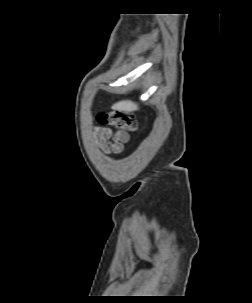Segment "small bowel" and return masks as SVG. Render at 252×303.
Here are the masks:
<instances>
[{
    "mask_svg": "<svg viewBox=\"0 0 252 303\" xmlns=\"http://www.w3.org/2000/svg\"><path fill=\"white\" fill-rule=\"evenodd\" d=\"M92 138L96 146L106 154H119L123 152L128 141L129 133L125 130L113 131L110 128L96 127Z\"/></svg>",
    "mask_w": 252,
    "mask_h": 303,
    "instance_id": "c3829d8e",
    "label": "small bowel"
}]
</instances>
